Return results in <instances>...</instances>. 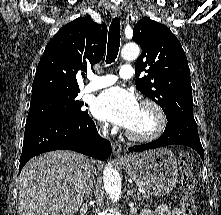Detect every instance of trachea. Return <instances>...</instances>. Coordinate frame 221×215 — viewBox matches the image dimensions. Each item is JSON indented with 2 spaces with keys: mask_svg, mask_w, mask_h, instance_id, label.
Here are the masks:
<instances>
[{
  "mask_svg": "<svg viewBox=\"0 0 221 215\" xmlns=\"http://www.w3.org/2000/svg\"><path fill=\"white\" fill-rule=\"evenodd\" d=\"M120 20L115 17L109 27L108 34V45H107V56L106 63L111 64L115 61L120 47Z\"/></svg>",
  "mask_w": 221,
  "mask_h": 215,
  "instance_id": "1",
  "label": "trachea"
}]
</instances>
